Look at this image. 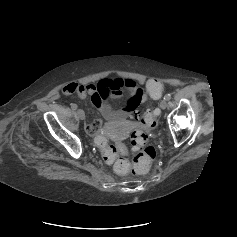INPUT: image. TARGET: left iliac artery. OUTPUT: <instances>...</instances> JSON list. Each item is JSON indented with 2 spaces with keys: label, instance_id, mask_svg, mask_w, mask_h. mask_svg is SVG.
<instances>
[{
  "label": "left iliac artery",
  "instance_id": "left-iliac-artery-1",
  "mask_svg": "<svg viewBox=\"0 0 237 237\" xmlns=\"http://www.w3.org/2000/svg\"><path fill=\"white\" fill-rule=\"evenodd\" d=\"M164 99H166L167 101L170 100V99H171V94H166V95L164 96Z\"/></svg>",
  "mask_w": 237,
  "mask_h": 237
}]
</instances>
